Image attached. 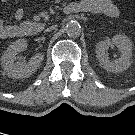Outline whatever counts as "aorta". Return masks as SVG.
I'll return each instance as SVG.
<instances>
[{
	"label": "aorta",
	"instance_id": "762f6f07",
	"mask_svg": "<svg viewBox=\"0 0 135 135\" xmlns=\"http://www.w3.org/2000/svg\"><path fill=\"white\" fill-rule=\"evenodd\" d=\"M65 31L67 35L71 37L78 36L81 32V26L78 21L71 20L65 26Z\"/></svg>",
	"mask_w": 135,
	"mask_h": 135
}]
</instances>
